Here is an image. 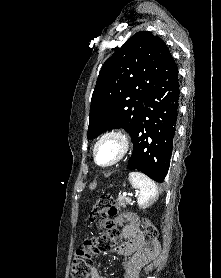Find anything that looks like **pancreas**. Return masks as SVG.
<instances>
[{
	"label": "pancreas",
	"mask_w": 221,
	"mask_h": 278,
	"mask_svg": "<svg viewBox=\"0 0 221 278\" xmlns=\"http://www.w3.org/2000/svg\"><path fill=\"white\" fill-rule=\"evenodd\" d=\"M130 204V200L125 197H119L117 206L120 208H126Z\"/></svg>",
	"instance_id": "1"
}]
</instances>
